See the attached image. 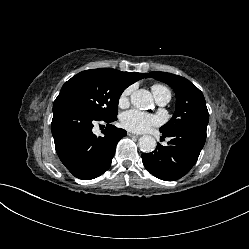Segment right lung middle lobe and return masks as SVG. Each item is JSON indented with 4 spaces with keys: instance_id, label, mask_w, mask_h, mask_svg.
Masks as SVG:
<instances>
[{
    "instance_id": "dd1d6c3e",
    "label": "right lung middle lobe",
    "mask_w": 249,
    "mask_h": 249,
    "mask_svg": "<svg viewBox=\"0 0 249 249\" xmlns=\"http://www.w3.org/2000/svg\"><path fill=\"white\" fill-rule=\"evenodd\" d=\"M126 88L105 68L85 70L63 85L54 102L72 104L99 119L114 118L117 117L119 98Z\"/></svg>"
}]
</instances>
